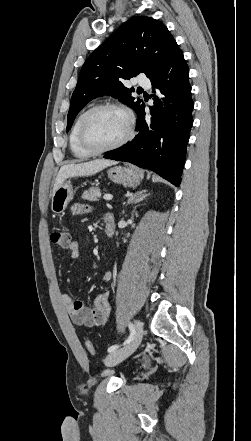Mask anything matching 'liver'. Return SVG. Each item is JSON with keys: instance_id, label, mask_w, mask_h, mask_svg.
Segmentation results:
<instances>
[{"instance_id": "1", "label": "liver", "mask_w": 251, "mask_h": 441, "mask_svg": "<svg viewBox=\"0 0 251 441\" xmlns=\"http://www.w3.org/2000/svg\"><path fill=\"white\" fill-rule=\"evenodd\" d=\"M116 161L96 159L93 161H88L84 163H71L64 165L60 168L57 177L55 179V184L53 187V193L59 188L63 182L70 177L76 176H90L94 175L104 168L115 165Z\"/></svg>"}]
</instances>
